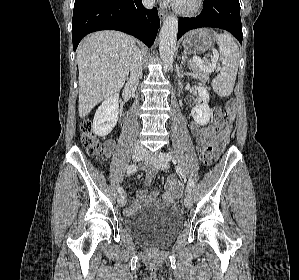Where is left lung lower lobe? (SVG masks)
<instances>
[{"instance_id": "left-lung-lower-lobe-1", "label": "left lung lower lobe", "mask_w": 299, "mask_h": 280, "mask_svg": "<svg viewBox=\"0 0 299 280\" xmlns=\"http://www.w3.org/2000/svg\"><path fill=\"white\" fill-rule=\"evenodd\" d=\"M200 27L227 30L242 43L239 0H204L203 10L199 16L179 20L177 39L187 31Z\"/></svg>"}]
</instances>
